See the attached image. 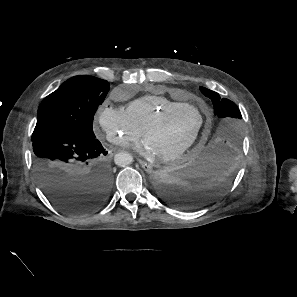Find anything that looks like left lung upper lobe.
Segmentation results:
<instances>
[{
	"label": "left lung upper lobe",
	"mask_w": 297,
	"mask_h": 297,
	"mask_svg": "<svg viewBox=\"0 0 297 297\" xmlns=\"http://www.w3.org/2000/svg\"><path fill=\"white\" fill-rule=\"evenodd\" d=\"M201 92L209 97L214 106V113L218 119L215 130L211 134L208 143H217L222 148L238 152L241 143V113L239 108L230 101L220 97L212 90L200 87Z\"/></svg>",
	"instance_id": "obj_1"
}]
</instances>
